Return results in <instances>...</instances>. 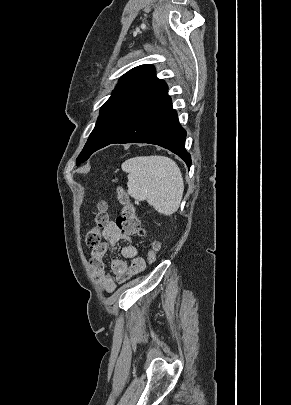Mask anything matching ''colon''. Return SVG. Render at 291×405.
Wrapping results in <instances>:
<instances>
[{
  "label": "colon",
  "instance_id": "5ec220e1",
  "mask_svg": "<svg viewBox=\"0 0 291 405\" xmlns=\"http://www.w3.org/2000/svg\"><path fill=\"white\" fill-rule=\"evenodd\" d=\"M118 201L122 205L120 215L116 219V226L126 235L141 236L144 233V229L137 216L136 209L131 203L129 197L123 188L118 187ZM107 224L106 215V203L100 201L98 203V212L94 217V227L89 229L85 235L86 245L89 248H96L101 244L102 233L101 230ZM159 250L158 242L152 243L147 252L148 264H154L157 260Z\"/></svg>",
  "mask_w": 291,
  "mask_h": 405
}]
</instances>
